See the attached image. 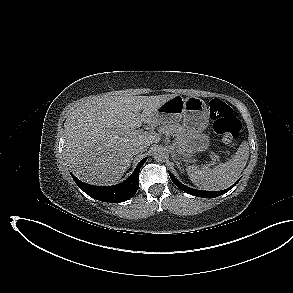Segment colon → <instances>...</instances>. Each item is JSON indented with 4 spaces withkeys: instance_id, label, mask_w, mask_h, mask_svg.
Segmentation results:
<instances>
[{
    "instance_id": "1",
    "label": "colon",
    "mask_w": 293,
    "mask_h": 293,
    "mask_svg": "<svg viewBox=\"0 0 293 293\" xmlns=\"http://www.w3.org/2000/svg\"><path fill=\"white\" fill-rule=\"evenodd\" d=\"M209 111L215 132L222 136L225 144L233 145L239 138L242 124L232 108L220 99H212Z\"/></svg>"
}]
</instances>
